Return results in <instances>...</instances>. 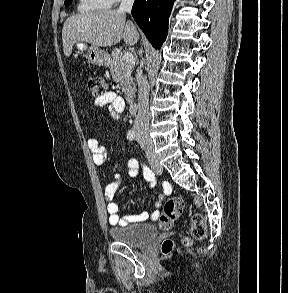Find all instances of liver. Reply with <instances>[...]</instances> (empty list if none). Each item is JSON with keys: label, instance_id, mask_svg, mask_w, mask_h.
<instances>
[{"label": "liver", "instance_id": "6515ba94", "mask_svg": "<svg viewBox=\"0 0 288 293\" xmlns=\"http://www.w3.org/2000/svg\"><path fill=\"white\" fill-rule=\"evenodd\" d=\"M123 39L126 45L137 43L139 34L132 21H126L125 13L118 10L93 11L70 16L62 30L63 51L70 56L77 42L94 47H108Z\"/></svg>", "mask_w": 288, "mask_h": 293}]
</instances>
